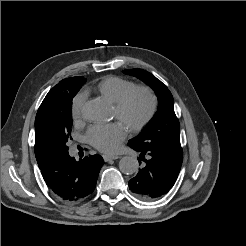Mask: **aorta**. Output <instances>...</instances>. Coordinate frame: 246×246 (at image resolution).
<instances>
[{"mask_svg":"<svg viewBox=\"0 0 246 246\" xmlns=\"http://www.w3.org/2000/svg\"><path fill=\"white\" fill-rule=\"evenodd\" d=\"M105 114V106L98 100H90L83 107V116L88 120H101L105 117ZM138 167V161L134 157L125 156L119 162V169L124 174H134Z\"/></svg>","mask_w":246,"mask_h":246,"instance_id":"obj_1","label":"aorta"}]
</instances>
